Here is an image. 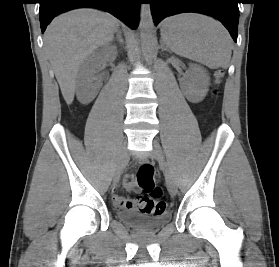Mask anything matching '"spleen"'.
Here are the masks:
<instances>
[{
  "mask_svg": "<svg viewBox=\"0 0 279 267\" xmlns=\"http://www.w3.org/2000/svg\"><path fill=\"white\" fill-rule=\"evenodd\" d=\"M161 37L177 55L209 67L229 66L232 39L223 25L211 17L196 13L171 17L163 24Z\"/></svg>",
  "mask_w": 279,
  "mask_h": 267,
  "instance_id": "1",
  "label": "spleen"
}]
</instances>
